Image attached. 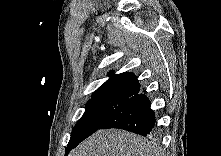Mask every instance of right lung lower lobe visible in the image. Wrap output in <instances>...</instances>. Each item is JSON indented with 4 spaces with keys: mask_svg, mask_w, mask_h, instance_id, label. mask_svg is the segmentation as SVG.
Returning a JSON list of instances; mask_svg holds the SVG:
<instances>
[{
    "mask_svg": "<svg viewBox=\"0 0 221 156\" xmlns=\"http://www.w3.org/2000/svg\"><path fill=\"white\" fill-rule=\"evenodd\" d=\"M156 126V118L149 99L136 94L119 104L99 128H119L142 136L151 135Z\"/></svg>",
    "mask_w": 221,
    "mask_h": 156,
    "instance_id": "98d812e1",
    "label": "right lung lower lobe"
}]
</instances>
